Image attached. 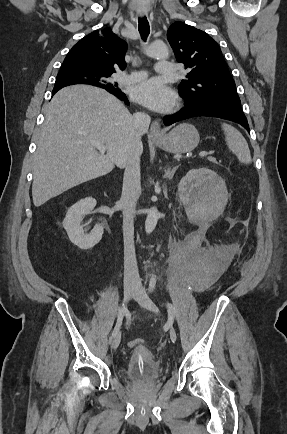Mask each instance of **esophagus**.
I'll use <instances>...</instances> for the list:
<instances>
[{"instance_id": "34e87169", "label": "esophagus", "mask_w": 287, "mask_h": 434, "mask_svg": "<svg viewBox=\"0 0 287 434\" xmlns=\"http://www.w3.org/2000/svg\"><path fill=\"white\" fill-rule=\"evenodd\" d=\"M146 13L142 12L140 13L141 16H144ZM150 136L155 139L158 140L162 137V133H161V129H160V122L158 119L154 120L151 128H150Z\"/></svg>"}]
</instances>
